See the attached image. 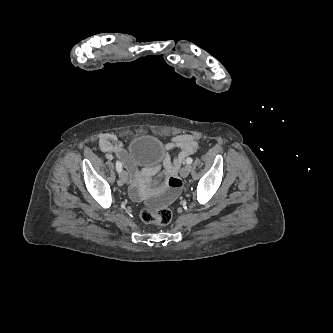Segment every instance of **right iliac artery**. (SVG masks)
Wrapping results in <instances>:
<instances>
[{
  "instance_id": "right-iliac-artery-1",
  "label": "right iliac artery",
  "mask_w": 333,
  "mask_h": 333,
  "mask_svg": "<svg viewBox=\"0 0 333 333\" xmlns=\"http://www.w3.org/2000/svg\"><path fill=\"white\" fill-rule=\"evenodd\" d=\"M116 169L118 172L122 171V163L120 161H116Z\"/></svg>"
}]
</instances>
